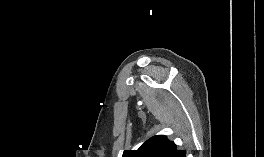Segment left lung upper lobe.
I'll return each instance as SVG.
<instances>
[{
    "label": "left lung upper lobe",
    "instance_id": "5c2ea615",
    "mask_svg": "<svg viewBox=\"0 0 264 157\" xmlns=\"http://www.w3.org/2000/svg\"><path fill=\"white\" fill-rule=\"evenodd\" d=\"M122 157H186V151L177 149L164 135H156L137 150H125Z\"/></svg>",
    "mask_w": 264,
    "mask_h": 157
}]
</instances>
